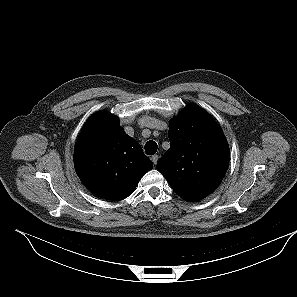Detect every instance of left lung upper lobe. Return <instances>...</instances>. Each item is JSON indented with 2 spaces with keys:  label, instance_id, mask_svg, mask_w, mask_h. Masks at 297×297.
Instances as JSON below:
<instances>
[{
  "label": "left lung upper lobe",
  "instance_id": "5c2ea615",
  "mask_svg": "<svg viewBox=\"0 0 297 297\" xmlns=\"http://www.w3.org/2000/svg\"><path fill=\"white\" fill-rule=\"evenodd\" d=\"M171 147L157 169L186 201H198L221 183L229 164V145L213 118L190 104L169 126Z\"/></svg>",
  "mask_w": 297,
  "mask_h": 297
}]
</instances>
